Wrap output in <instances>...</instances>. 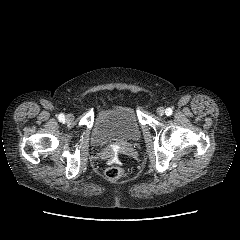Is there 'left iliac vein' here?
<instances>
[{
	"mask_svg": "<svg viewBox=\"0 0 240 240\" xmlns=\"http://www.w3.org/2000/svg\"><path fill=\"white\" fill-rule=\"evenodd\" d=\"M157 114H158L159 116H163V115L165 114V109H164L163 107H159V108L157 109Z\"/></svg>",
	"mask_w": 240,
	"mask_h": 240,
	"instance_id": "4c4485c4",
	"label": "left iliac vein"
}]
</instances>
